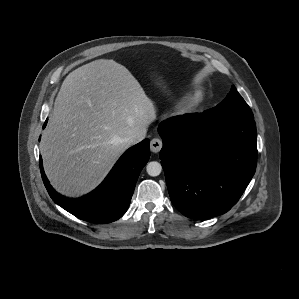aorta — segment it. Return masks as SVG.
I'll use <instances>...</instances> for the list:
<instances>
[{
  "mask_svg": "<svg viewBox=\"0 0 299 299\" xmlns=\"http://www.w3.org/2000/svg\"><path fill=\"white\" fill-rule=\"evenodd\" d=\"M146 170L150 176L154 177V176H158L161 173L162 166L159 162L152 161L147 164Z\"/></svg>",
  "mask_w": 299,
  "mask_h": 299,
  "instance_id": "1",
  "label": "aorta"
}]
</instances>
